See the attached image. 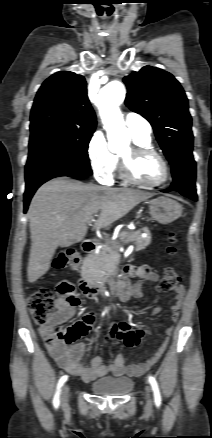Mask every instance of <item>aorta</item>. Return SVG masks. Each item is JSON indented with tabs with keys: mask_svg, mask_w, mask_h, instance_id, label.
Masks as SVG:
<instances>
[{
	"mask_svg": "<svg viewBox=\"0 0 212 438\" xmlns=\"http://www.w3.org/2000/svg\"><path fill=\"white\" fill-rule=\"evenodd\" d=\"M126 90L120 81H111L101 88L97 106L99 113L107 131L109 148L115 151L117 145L129 143V135L119 106L125 99Z\"/></svg>",
	"mask_w": 212,
	"mask_h": 438,
	"instance_id": "762f6f07",
	"label": "aorta"
}]
</instances>
